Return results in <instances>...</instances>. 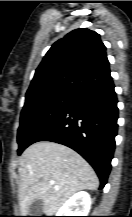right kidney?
Wrapping results in <instances>:
<instances>
[{
    "mask_svg": "<svg viewBox=\"0 0 132 217\" xmlns=\"http://www.w3.org/2000/svg\"><path fill=\"white\" fill-rule=\"evenodd\" d=\"M90 206V195L85 191H80L60 208L56 216H88Z\"/></svg>",
    "mask_w": 132,
    "mask_h": 217,
    "instance_id": "right-kidney-1",
    "label": "right kidney"
}]
</instances>
